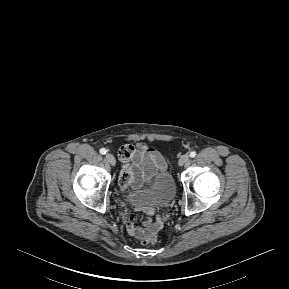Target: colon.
Returning <instances> with one entry per match:
<instances>
[{
  "label": "colon",
  "mask_w": 289,
  "mask_h": 289,
  "mask_svg": "<svg viewBox=\"0 0 289 289\" xmlns=\"http://www.w3.org/2000/svg\"><path fill=\"white\" fill-rule=\"evenodd\" d=\"M157 241H158L157 233H153L147 236L146 238H144L142 240V243L145 245H148V244H155Z\"/></svg>",
  "instance_id": "obj_1"
}]
</instances>
